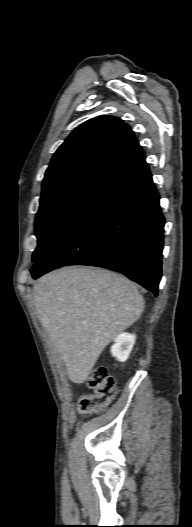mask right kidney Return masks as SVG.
Returning a JSON list of instances; mask_svg holds the SVG:
<instances>
[{
	"instance_id": "right-kidney-1",
	"label": "right kidney",
	"mask_w": 192,
	"mask_h": 527,
	"mask_svg": "<svg viewBox=\"0 0 192 527\" xmlns=\"http://www.w3.org/2000/svg\"><path fill=\"white\" fill-rule=\"evenodd\" d=\"M135 335L122 333L115 339V344L111 347V353L119 361L124 362L128 359V356L135 343Z\"/></svg>"
}]
</instances>
